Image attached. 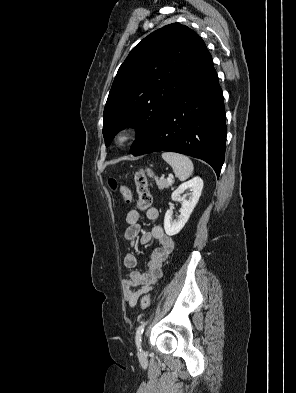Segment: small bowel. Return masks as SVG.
Segmentation results:
<instances>
[{
	"label": "small bowel",
	"instance_id": "1",
	"mask_svg": "<svg viewBox=\"0 0 296 393\" xmlns=\"http://www.w3.org/2000/svg\"><path fill=\"white\" fill-rule=\"evenodd\" d=\"M146 217L157 220L159 217L158 209L151 207L146 211ZM140 213L137 210H130L126 216L128 227L124 237L135 246V241L140 240L143 245L149 244L153 239L158 241L159 247L155 248L148 261L147 271L139 272L134 270L138 264V258L133 252H127L123 257L124 266L131 269L129 276L123 282L125 298L130 307H134L139 296L153 289L157 280L162 275V264L174 249V240L167 235L159 225L153 226L150 231H144L139 223Z\"/></svg>",
	"mask_w": 296,
	"mask_h": 393
}]
</instances>
